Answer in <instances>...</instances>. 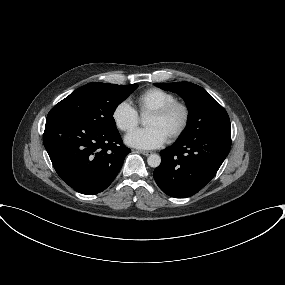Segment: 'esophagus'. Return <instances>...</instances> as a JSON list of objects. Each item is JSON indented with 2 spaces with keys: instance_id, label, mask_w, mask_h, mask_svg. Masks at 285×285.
<instances>
[{
  "instance_id": "obj_1",
  "label": "esophagus",
  "mask_w": 285,
  "mask_h": 285,
  "mask_svg": "<svg viewBox=\"0 0 285 285\" xmlns=\"http://www.w3.org/2000/svg\"><path fill=\"white\" fill-rule=\"evenodd\" d=\"M137 152H138V153H141V154H143V155H145V156H148V155L152 154L151 151H145V150H138Z\"/></svg>"
}]
</instances>
